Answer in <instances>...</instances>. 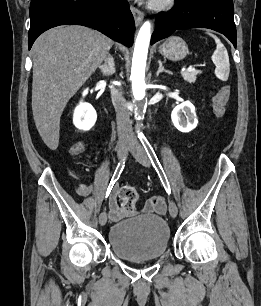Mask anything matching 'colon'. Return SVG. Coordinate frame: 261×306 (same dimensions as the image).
<instances>
[{"label": "colon", "instance_id": "1", "mask_svg": "<svg viewBox=\"0 0 261 306\" xmlns=\"http://www.w3.org/2000/svg\"><path fill=\"white\" fill-rule=\"evenodd\" d=\"M231 96L229 85L222 86L212 98V109L217 117H223L226 114V105ZM83 149L81 143L72 147L73 153H79ZM120 207L124 213L131 214L135 211L138 202V193L131 185L122 187L119 193Z\"/></svg>", "mask_w": 261, "mask_h": 306}]
</instances>
